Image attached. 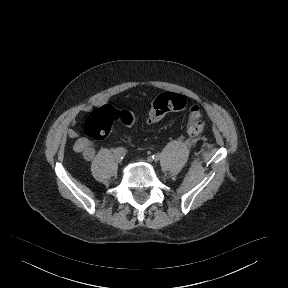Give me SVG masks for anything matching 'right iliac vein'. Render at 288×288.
Instances as JSON below:
<instances>
[{
    "label": "right iliac vein",
    "instance_id": "right-iliac-vein-1",
    "mask_svg": "<svg viewBox=\"0 0 288 288\" xmlns=\"http://www.w3.org/2000/svg\"><path fill=\"white\" fill-rule=\"evenodd\" d=\"M116 160H117L118 163H121V162H122L121 159L116 158Z\"/></svg>",
    "mask_w": 288,
    "mask_h": 288
}]
</instances>
